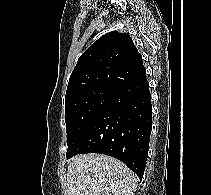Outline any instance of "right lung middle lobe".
<instances>
[{
	"label": "right lung middle lobe",
	"instance_id": "right-lung-middle-lobe-1",
	"mask_svg": "<svg viewBox=\"0 0 211 195\" xmlns=\"http://www.w3.org/2000/svg\"><path fill=\"white\" fill-rule=\"evenodd\" d=\"M111 91L103 88L89 89L65 99L67 152L71 151L103 110Z\"/></svg>",
	"mask_w": 211,
	"mask_h": 195
}]
</instances>
